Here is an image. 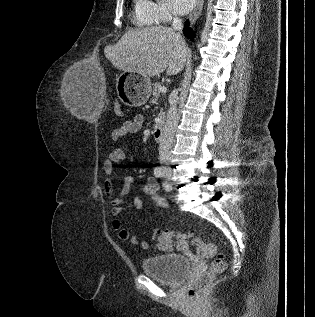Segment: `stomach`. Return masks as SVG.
Returning a JSON list of instances; mask_svg holds the SVG:
<instances>
[{
  "label": "stomach",
  "instance_id": "obj_1",
  "mask_svg": "<svg viewBox=\"0 0 315 317\" xmlns=\"http://www.w3.org/2000/svg\"><path fill=\"white\" fill-rule=\"evenodd\" d=\"M116 91L123 104L139 107L144 105L150 97L151 80L137 72L124 71L116 79Z\"/></svg>",
  "mask_w": 315,
  "mask_h": 317
}]
</instances>
